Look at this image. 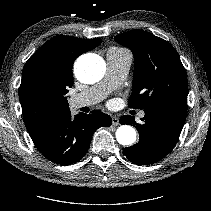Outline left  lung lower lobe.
Instances as JSON below:
<instances>
[{"instance_id": "0a47b994", "label": "left lung lower lobe", "mask_w": 211, "mask_h": 211, "mask_svg": "<svg viewBox=\"0 0 211 211\" xmlns=\"http://www.w3.org/2000/svg\"><path fill=\"white\" fill-rule=\"evenodd\" d=\"M142 124L134 117L123 115L121 124L136 126L139 142L124 149L125 156L134 164L150 165L164 158L176 145L186 119V102L165 101L144 109Z\"/></svg>"}]
</instances>
